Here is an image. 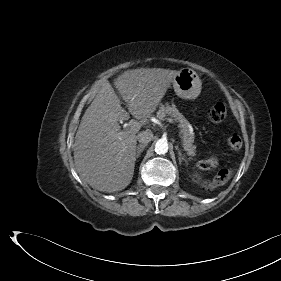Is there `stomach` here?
Instances as JSON below:
<instances>
[{
    "instance_id": "1",
    "label": "stomach",
    "mask_w": 281,
    "mask_h": 281,
    "mask_svg": "<svg viewBox=\"0 0 281 281\" xmlns=\"http://www.w3.org/2000/svg\"><path fill=\"white\" fill-rule=\"evenodd\" d=\"M172 83L175 93L183 99H195L201 92V80L191 68L181 69Z\"/></svg>"
}]
</instances>
